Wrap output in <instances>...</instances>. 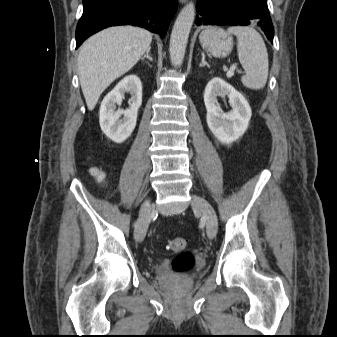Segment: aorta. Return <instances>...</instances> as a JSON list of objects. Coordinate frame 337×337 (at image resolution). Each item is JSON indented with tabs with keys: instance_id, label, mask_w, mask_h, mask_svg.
<instances>
[{
	"instance_id": "1",
	"label": "aorta",
	"mask_w": 337,
	"mask_h": 337,
	"mask_svg": "<svg viewBox=\"0 0 337 337\" xmlns=\"http://www.w3.org/2000/svg\"><path fill=\"white\" fill-rule=\"evenodd\" d=\"M195 5L189 2L180 11L170 37L169 53L172 65L181 66L183 63L189 33L194 22Z\"/></svg>"
}]
</instances>
